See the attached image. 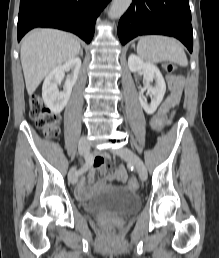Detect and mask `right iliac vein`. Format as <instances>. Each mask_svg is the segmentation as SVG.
<instances>
[{
  "mask_svg": "<svg viewBox=\"0 0 219 258\" xmlns=\"http://www.w3.org/2000/svg\"><path fill=\"white\" fill-rule=\"evenodd\" d=\"M89 142L88 139L83 136L80 138L79 143H78V150L80 155H86L89 152ZM68 180L71 184H75L77 182V174H76V169L71 168L68 174Z\"/></svg>",
  "mask_w": 219,
  "mask_h": 258,
  "instance_id": "right-iliac-vein-1",
  "label": "right iliac vein"
}]
</instances>
